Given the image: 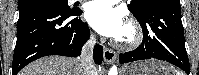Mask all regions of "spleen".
<instances>
[{"instance_id": "spleen-1", "label": "spleen", "mask_w": 199, "mask_h": 75, "mask_svg": "<svg viewBox=\"0 0 199 75\" xmlns=\"http://www.w3.org/2000/svg\"><path fill=\"white\" fill-rule=\"evenodd\" d=\"M177 75H181V73L178 72Z\"/></svg>"}]
</instances>
